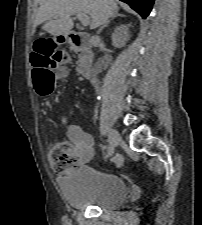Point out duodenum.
I'll return each instance as SVG.
<instances>
[{
	"label": "duodenum",
	"mask_w": 202,
	"mask_h": 225,
	"mask_svg": "<svg viewBox=\"0 0 202 225\" xmlns=\"http://www.w3.org/2000/svg\"><path fill=\"white\" fill-rule=\"evenodd\" d=\"M55 39L62 44H69L71 48L77 52L80 57L77 70L84 77H92L94 75L92 69L93 54L89 50V37L85 33L69 31L65 34L55 36Z\"/></svg>",
	"instance_id": "duodenum-1"
}]
</instances>
